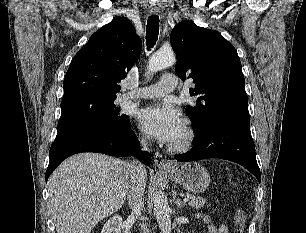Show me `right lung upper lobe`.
<instances>
[{
  "label": "right lung upper lobe",
  "instance_id": "1",
  "mask_svg": "<svg viewBox=\"0 0 306 233\" xmlns=\"http://www.w3.org/2000/svg\"><path fill=\"white\" fill-rule=\"evenodd\" d=\"M142 42L132 23L117 18L95 32L73 58L63 82L62 103L85 98H116L140 56Z\"/></svg>",
  "mask_w": 306,
  "mask_h": 233
}]
</instances>
